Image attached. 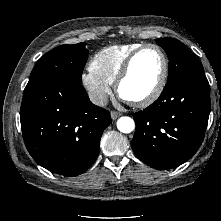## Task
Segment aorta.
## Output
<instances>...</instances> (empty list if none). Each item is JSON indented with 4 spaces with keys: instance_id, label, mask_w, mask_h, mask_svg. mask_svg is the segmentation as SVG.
Masks as SVG:
<instances>
[{
    "instance_id": "1",
    "label": "aorta",
    "mask_w": 221,
    "mask_h": 221,
    "mask_svg": "<svg viewBox=\"0 0 221 221\" xmlns=\"http://www.w3.org/2000/svg\"><path fill=\"white\" fill-rule=\"evenodd\" d=\"M117 128L122 133H131L135 129V122L132 118L123 116L117 120Z\"/></svg>"
}]
</instances>
